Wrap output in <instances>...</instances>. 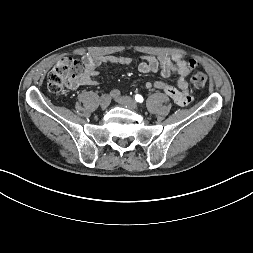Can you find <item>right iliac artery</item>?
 <instances>
[{
    "mask_svg": "<svg viewBox=\"0 0 253 253\" xmlns=\"http://www.w3.org/2000/svg\"><path fill=\"white\" fill-rule=\"evenodd\" d=\"M118 96H120V91L118 89H114L110 92V97L117 98Z\"/></svg>",
    "mask_w": 253,
    "mask_h": 253,
    "instance_id": "82829eb1",
    "label": "right iliac artery"
}]
</instances>
